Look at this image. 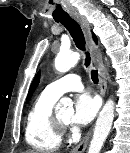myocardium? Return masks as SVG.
I'll list each match as a JSON object with an SVG mask.
<instances>
[{
    "label": "myocardium",
    "instance_id": "f54148a6",
    "mask_svg": "<svg viewBox=\"0 0 130 153\" xmlns=\"http://www.w3.org/2000/svg\"><path fill=\"white\" fill-rule=\"evenodd\" d=\"M53 123L55 127L61 132L65 131L66 128L68 127V123L63 122L58 115H55L53 113Z\"/></svg>",
    "mask_w": 130,
    "mask_h": 153
}]
</instances>
